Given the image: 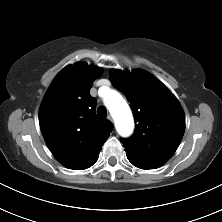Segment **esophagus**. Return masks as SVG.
<instances>
[{"label":"esophagus","instance_id":"1","mask_svg":"<svg viewBox=\"0 0 222 222\" xmlns=\"http://www.w3.org/2000/svg\"><path fill=\"white\" fill-rule=\"evenodd\" d=\"M107 119L110 120L111 122H113V119L110 115L107 117Z\"/></svg>","mask_w":222,"mask_h":222}]
</instances>
